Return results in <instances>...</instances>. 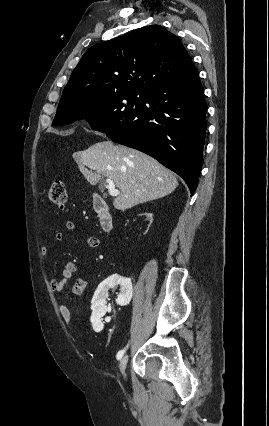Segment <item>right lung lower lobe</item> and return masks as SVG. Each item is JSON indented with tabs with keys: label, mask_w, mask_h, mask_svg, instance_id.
<instances>
[{
	"label": "right lung lower lobe",
	"mask_w": 269,
	"mask_h": 426,
	"mask_svg": "<svg viewBox=\"0 0 269 426\" xmlns=\"http://www.w3.org/2000/svg\"><path fill=\"white\" fill-rule=\"evenodd\" d=\"M207 105L195 68L150 89L143 107L106 135L181 176L193 195L202 167Z\"/></svg>",
	"instance_id": "1"
}]
</instances>
